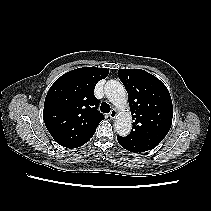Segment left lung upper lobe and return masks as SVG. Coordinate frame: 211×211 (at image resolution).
<instances>
[{
  "instance_id": "5c2ea615",
  "label": "left lung upper lobe",
  "mask_w": 211,
  "mask_h": 211,
  "mask_svg": "<svg viewBox=\"0 0 211 211\" xmlns=\"http://www.w3.org/2000/svg\"><path fill=\"white\" fill-rule=\"evenodd\" d=\"M119 79L128 93L133 127L126 137L118 136L122 147L131 152L154 149L172 124L173 105L166 86L141 69H120Z\"/></svg>"
}]
</instances>
